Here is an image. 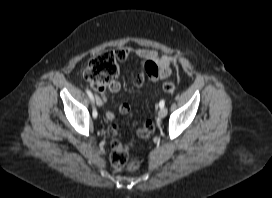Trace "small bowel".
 I'll use <instances>...</instances> for the list:
<instances>
[{"label": "small bowel", "instance_id": "small-bowel-1", "mask_svg": "<svg viewBox=\"0 0 272 198\" xmlns=\"http://www.w3.org/2000/svg\"><path fill=\"white\" fill-rule=\"evenodd\" d=\"M118 54L122 57L121 60H126L130 58L131 56L135 55L136 57L140 58L143 61H153L156 63L158 67V75L156 77L150 78L152 81L156 82L160 79L167 78L170 76L172 72V65L174 62V58L170 55H163L159 56L156 52L147 50V49H137L135 51L127 48L122 47L117 49ZM135 84L139 86L135 80ZM112 93H117L121 89V84L119 81H114L108 88ZM99 99V102L102 104V100H104V95L101 94L97 97ZM130 104L128 102H123L119 106V111L122 114H126L130 111ZM105 117L107 120H113L115 117V114L112 111H107L105 113Z\"/></svg>", "mask_w": 272, "mask_h": 198}]
</instances>
